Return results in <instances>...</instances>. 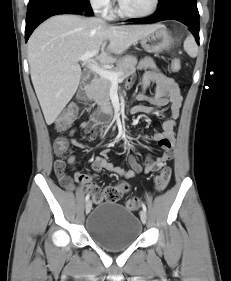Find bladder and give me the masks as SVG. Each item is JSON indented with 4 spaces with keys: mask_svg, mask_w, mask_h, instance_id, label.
<instances>
[{
    "mask_svg": "<svg viewBox=\"0 0 231 281\" xmlns=\"http://www.w3.org/2000/svg\"><path fill=\"white\" fill-rule=\"evenodd\" d=\"M89 237L102 248L120 251L130 247L139 238L142 224L139 218L114 202H102L86 220Z\"/></svg>",
    "mask_w": 231,
    "mask_h": 281,
    "instance_id": "1",
    "label": "bladder"
}]
</instances>
